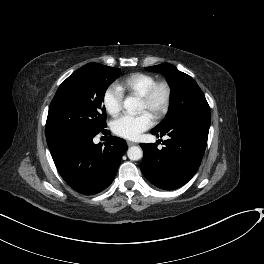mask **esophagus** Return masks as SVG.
Returning a JSON list of instances; mask_svg holds the SVG:
<instances>
[{
    "instance_id": "obj_1",
    "label": "esophagus",
    "mask_w": 264,
    "mask_h": 264,
    "mask_svg": "<svg viewBox=\"0 0 264 264\" xmlns=\"http://www.w3.org/2000/svg\"><path fill=\"white\" fill-rule=\"evenodd\" d=\"M127 145H128V146H133V145H135V142L127 141Z\"/></svg>"
}]
</instances>
